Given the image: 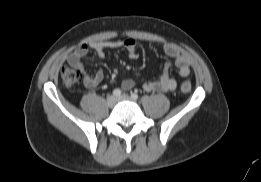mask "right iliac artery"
Segmentation results:
<instances>
[{"label":"right iliac artery","mask_w":261,"mask_h":182,"mask_svg":"<svg viewBox=\"0 0 261 182\" xmlns=\"http://www.w3.org/2000/svg\"><path fill=\"white\" fill-rule=\"evenodd\" d=\"M113 96H115V97H119L121 94H122V91L120 90V89H114L113 90Z\"/></svg>","instance_id":"obj_1"}]
</instances>
